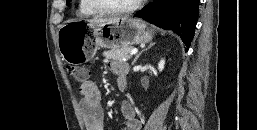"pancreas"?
<instances>
[{
	"mask_svg": "<svg viewBox=\"0 0 257 130\" xmlns=\"http://www.w3.org/2000/svg\"><path fill=\"white\" fill-rule=\"evenodd\" d=\"M132 49V46L116 48L109 51H105L103 53V56L111 62L129 60L131 58L130 52Z\"/></svg>",
	"mask_w": 257,
	"mask_h": 130,
	"instance_id": "1",
	"label": "pancreas"
}]
</instances>
